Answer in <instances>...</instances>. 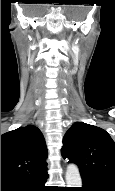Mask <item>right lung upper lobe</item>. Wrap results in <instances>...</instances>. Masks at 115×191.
Here are the masks:
<instances>
[{
    "label": "right lung upper lobe",
    "mask_w": 115,
    "mask_h": 191,
    "mask_svg": "<svg viewBox=\"0 0 115 191\" xmlns=\"http://www.w3.org/2000/svg\"><path fill=\"white\" fill-rule=\"evenodd\" d=\"M48 156L41 131L33 125L1 135V182H19L47 174Z\"/></svg>",
    "instance_id": "right-lung-upper-lobe-1"
}]
</instances>
